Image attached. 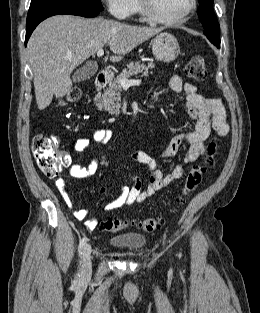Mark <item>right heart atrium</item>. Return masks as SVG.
Instances as JSON below:
<instances>
[{"label":"right heart atrium","instance_id":"obj_1","mask_svg":"<svg viewBox=\"0 0 260 313\" xmlns=\"http://www.w3.org/2000/svg\"><path fill=\"white\" fill-rule=\"evenodd\" d=\"M117 19H126L135 11V0H102Z\"/></svg>","mask_w":260,"mask_h":313}]
</instances>
